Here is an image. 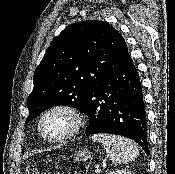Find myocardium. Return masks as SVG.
<instances>
[{
	"label": "myocardium",
	"mask_w": 175,
	"mask_h": 174,
	"mask_svg": "<svg viewBox=\"0 0 175 174\" xmlns=\"http://www.w3.org/2000/svg\"><path fill=\"white\" fill-rule=\"evenodd\" d=\"M58 111L69 114L73 120V125L71 129L64 135L59 137H49L43 131L44 120L51 113L58 112ZM83 124H84L83 113L77 107L67 103H60V104L51 106L42 114L38 124V131L41 137L47 140L48 142L60 143L74 137L81 130V128L83 127Z\"/></svg>",
	"instance_id": "myocardium-1"
}]
</instances>
